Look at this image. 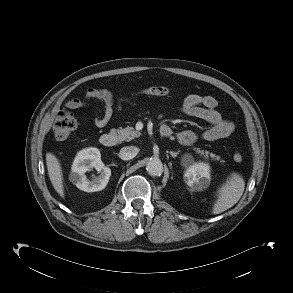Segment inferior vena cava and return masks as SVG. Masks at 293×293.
Here are the masks:
<instances>
[{
	"label": "inferior vena cava",
	"mask_w": 293,
	"mask_h": 293,
	"mask_svg": "<svg viewBox=\"0 0 293 293\" xmlns=\"http://www.w3.org/2000/svg\"><path fill=\"white\" fill-rule=\"evenodd\" d=\"M139 152V149L134 146H126L120 150L119 157L122 160H130L134 158Z\"/></svg>",
	"instance_id": "602c4592"
}]
</instances>
